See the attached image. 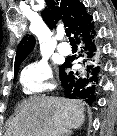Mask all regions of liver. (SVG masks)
<instances>
[{
	"instance_id": "liver-1",
	"label": "liver",
	"mask_w": 117,
	"mask_h": 136,
	"mask_svg": "<svg viewBox=\"0 0 117 136\" xmlns=\"http://www.w3.org/2000/svg\"><path fill=\"white\" fill-rule=\"evenodd\" d=\"M80 100L31 96L18 104L16 115L8 121L6 136H64L84 122Z\"/></svg>"
}]
</instances>
